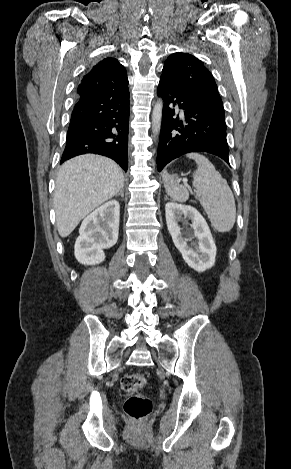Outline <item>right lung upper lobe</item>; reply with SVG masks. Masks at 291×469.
<instances>
[{
  "label": "right lung upper lobe",
  "mask_w": 291,
  "mask_h": 469,
  "mask_svg": "<svg viewBox=\"0 0 291 469\" xmlns=\"http://www.w3.org/2000/svg\"><path fill=\"white\" fill-rule=\"evenodd\" d=\"M102 90L128 91V79L124 66L117 59L108 57L98 62L81 80L78 98Z\"/></svg>",
  "instance_id": "cb5924a9"
}]
</instances>
